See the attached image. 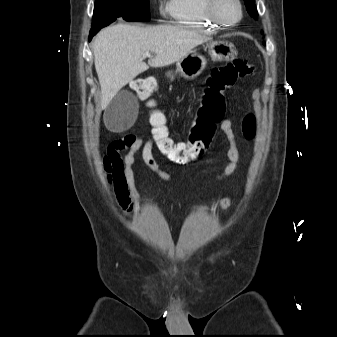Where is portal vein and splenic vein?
Instances as JSON below:
<instances>
[{
	"label": "portal vein and splenic vein",
	"mask_w": 337,
	"mask_h": 337,
	"mask_svg": "<svg viewBox=\"0 0 337 337\" xmlns=\"http://www.w3.org/2000/svg\"><path fill=\"white\" fill-rule=\"evenodd\" d=\"M143 57H150V53L149 52L145 53Z\"/></svg>",
	"instance_id": "18ae733b"
}]
</instances>
